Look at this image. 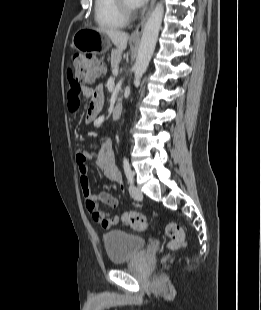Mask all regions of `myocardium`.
<instances>
[{"label":"myocardium","mask_w":261,"mask_h":310,"mask_svg":"<svg viewBox=\"0 0 261 310\" xmlns=\"http://www.w3.org/2000/svg\"><path fill=\"white\" fill-rule=\"evenodd\" d=\"M115 3L118 11L125 20L131 19L134 16L133 9L124 0H115Z\"/></svg>","instance_id":"myocardium-1"}]
</instances>
